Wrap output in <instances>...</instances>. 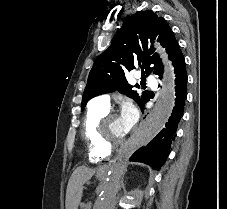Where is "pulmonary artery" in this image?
Listing matches in <instances>:
<instances>
[{"label": "pulmonary artery", "instance_id": "obj_1", "mask_svg": "<svg viewBox=\"0 0 227 209\" xmlns=\"http://www.w3.org/2000/svg\"><path fill=\"white\" fill-rule=\"evenodd\" d=\"M145 77L152 78L153 74L146 73ZM86 104L87 105H96L98 108H102V109H108L109 99H108L107 95H96V100H87Z\"/></svg>", "mask_w": 227, "mask_h": 209}]
</instances>
